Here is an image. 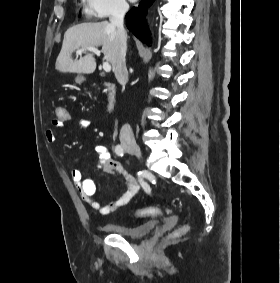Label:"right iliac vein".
Returning <instances> with one entry per match:
<instances>
[{"label": "right iliac vein", "mask_w": 280, "mask_h": 283, "mask_svg": "<svg viewBox=\"0 0 280 283\" xmlns=\"http://www.w3.org/2000/svg\"><path fill=\"white\" fill-rule=\"evenodd\" d=\"M126 150L130 153L135 155L138 159H142V153L140 148L137 145H126Z\"/></svg>", "instance_id": "right-iliac-vein-1"}]
</instances>
